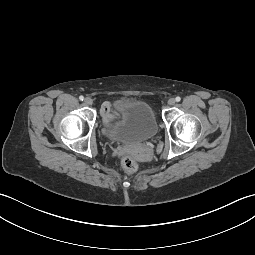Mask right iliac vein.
Here are the masks:
<instances>
[{
  "label": "right iliac vein",
  "mask_w": 255,
  "mask_h": 255,
  "mask_svg": "<svg viewBox=\"0 0 255 255\" xmlns=\"http://www.w3.org/2000/svg\"><path fill=\"white\" fill-rule=\"evenodd\" d=\"M84 103L90 106L93 104V100L90 97H87L85 98Z\"/></svg>",
  "instance_id": "right-iliac-vein-1"
}]
</instances>
